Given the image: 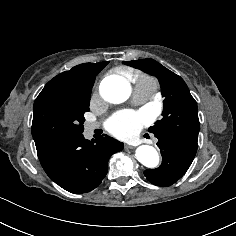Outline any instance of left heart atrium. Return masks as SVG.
<instances>
[{"mask_svg":"<svg viewBox=\"0 0 236 236\" xmlns=\"http://www.w3.org/2000/svg\"><path fill=\"white\" fill-rule=\"evenodd\" d=\"M146 119L140 112L122 111L115 114L107 124V129L118 138L127 139L144 126Z\"/></svg>","mask_w":236,"mask_h":236,"instance_id":"obj_1","label":"left heart atrium"}]
</instances>
